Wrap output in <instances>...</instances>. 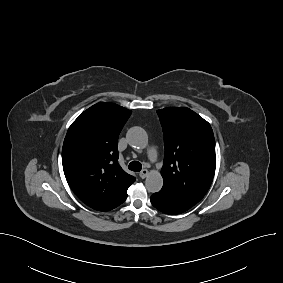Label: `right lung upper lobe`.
Instances as JSON below:
<instances>
[{"instance_id": "1", "label": "right lung upper lobe", "mask_w": 283, "mask_h": 283, "mask_svg": "<svg viewBox=\"0 0 283 283\" xmlns=\"http://www.w3.org/2000/svg\"><path fill=\"white\" fill-rule=\"evenodd\" d=\"M131 111L100 102L84 111L69 127L62 149L65 177L89 207L108 211L127 196L135 178L118 163V136Z\"/></svg>"}]
</instances>
